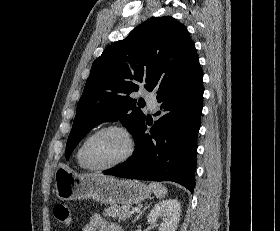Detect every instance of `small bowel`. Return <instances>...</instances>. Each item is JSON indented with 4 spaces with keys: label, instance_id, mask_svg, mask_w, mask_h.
Masks as SVG:
<instances>
[{
    "label": "small bowel",
    "instance_id": "obj_1",
    "mask_svg": "<svg viewBox=\"0 0 280 231\" xmlns=\"http://www.w3.org/2000/svg\"><path fill=\"white\" fill-rule=\"evenodd\" d=\"M82 231H122V229L116 224L103 219L101 215L93 214Z\"/></svg>",
    "mask_w": 280,
    "mask_h": 231
}]
</instances>
